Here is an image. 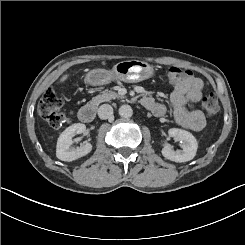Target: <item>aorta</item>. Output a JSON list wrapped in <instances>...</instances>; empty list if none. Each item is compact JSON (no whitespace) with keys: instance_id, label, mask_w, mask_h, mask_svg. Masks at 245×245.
Segmentation results:
<instances>
[{"instance_id":"obj_1","label":"aorta","mask_w":245,"mask_h":245,"mask_svg":"<svg viewBox=\"0 0 245 245\" xmlns=\"http://www.w3.org/2000/svg\"><path fill=\"white\" fill-rule=\"evenodd\" d=\"M133 114V110L129 105H122L119 108V115L123 118H130Z\"/></svg>"}]
</instances>
